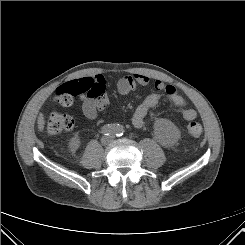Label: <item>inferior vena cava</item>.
Returning <instances> with one entry per match:
<instances>
[{
	"instance_id": "obj_1",
	"label": "inferior vena cava",
	"mask_w": 245,
	"mask_h": 245,
	"mask_svg": "<svg viewBox=\"0 0 245 245\" xmlns=\"http://www.w3.org/2000/svg\"><path fill=\"white\" fill-rule=\"evenodd\" d=\"M111 139H112L111 136L103 137V138H102V142H103V143H106L107 141H109V140H111Z\"/></svg>"
}]
</instances>
